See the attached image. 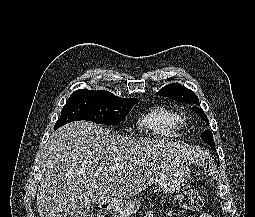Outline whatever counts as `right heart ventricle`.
Returning <instances> with one entry per match:
<instances>
[{
    "instance_id": "obj_1",
    "label": "right heart ventricle",
    "mask_w": 255,
    "mask_h": 217,
    "mask_svg": "<svg viewBox=\"0 0 255 217\" xmlns=\"http://www.w3.org/2000/svg\"><path fill=\"white\" fill-rule=\"evenodd\" d=\"M139 126L156 136L177 137L182 132L184 120L174 110L156 106L140 119Z\"/></svg>"
}]
</instances>
